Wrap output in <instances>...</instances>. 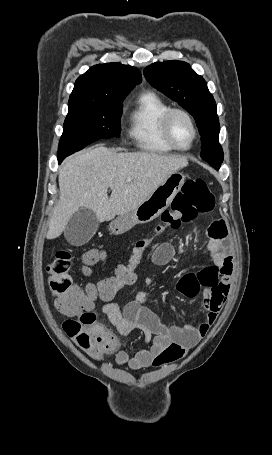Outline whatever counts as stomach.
<instances>
[{"label":"stomach","instance_id":"stomach-1","mask_svg":"<svg viewBox=\"0 0 272 455\" xmlns=\"http://www.w3.org/2000/svg\"><path fill=\"white\" fill-rule=\"evenodd\" d=\"M185 182V175L176 171L137 208L118 216L111 224L113 234L120 235L130 230L136 224H145L156 219L165 211L180 191Z\"/></svg>","mask_w":272,"mask_h":455}]
</instances>
